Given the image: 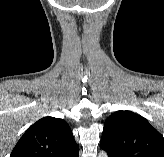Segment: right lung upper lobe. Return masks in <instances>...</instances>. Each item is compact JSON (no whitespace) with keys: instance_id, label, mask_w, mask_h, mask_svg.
Here are the masks:
<instances>
[{"instance_id":"1","label":"right lung upper lobe","mask_w":164,"mask_h":157,"mask_svg":"<svg viewBox=\"0 0 164 157\" xmlns=\"http://www.w3.org/2000/svg\"><path fill=\"white\" fill-rule=\"evenodd\" d=\"M76 148L79 146L66 121L44 117L26 130L10 157H63Z\"/></svg>"}]
</instances>
